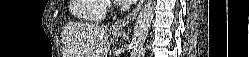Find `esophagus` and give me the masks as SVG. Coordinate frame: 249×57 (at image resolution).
I'll list each match as a JSON object with an SVG mask.
<instances>
[{
    "mask_svg": "<svg viewBox=\"0 0 249 57\" xmlns=\"http://www.w3.org/2000/svg\"><path fill=\"white\" fill-rule=\"evenodd\" d=\"M144 2L145 0H140L137 6L133 9V11L127 16H125L123 19L112 24L110 30L113 32H118L124 31L125 29L129 28L135 20L136 16L138 15Z\"/></svg>",
    "mask_w": 249,
    "mask_h": 57,
    "instance_id": "1",
    "label": "esophagus"
}]
</instances>
